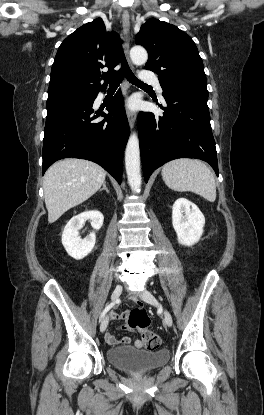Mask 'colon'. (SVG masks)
Returning <instances> with one entry per match:
<instances>
[{
	"instance_id": "colon-1",
	"label": "colon",
	"mask_w": 264,
	"mask_h": 415,
	"mask_svg": "<svg viewBox=\"0 0 264 415\" xmlns=\"http://www.w3.org/2000/svg\"><path fill=\"white\" fill-rule=\"evenodd\" d=\"M130 327L137 328L141 334V341L145 349H157L160 338L150 329V318L142 307L133 309L128 315Z\"/></svg>"
}]
</instances>
